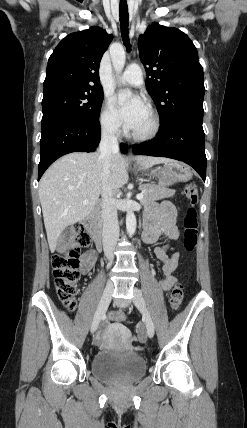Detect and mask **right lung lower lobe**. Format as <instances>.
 Here are the masks:
<instances>
[{"instance_id":"98d812e1","label":"right lung lower lobe","mask_w":247,"mask_h":428,"mask_svg":"<svg viewBox=\"0 0 247 428\" xmlns=\"http://www.w3.org/2000/svg\"><path fill=\"white\" fill-rule=\"evenodd\" d=\"M100 122L86 123L71 118L56 117L42 121L38 180L59 157L71 152L94 151L100 142ZM127 152V145H121Z\"/></svg>"}]
</instances>
